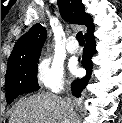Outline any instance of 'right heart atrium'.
<instances>
[{
	"label": "right heart atrium",
	"mask_w": 122,
	"mask_h": 123,
	"mask_svg": "<svg viewBox=\"0 0 122 123\" xmlns=\"http://www.w3.org/2000/svg\"><path fill=\"white\" fill-rule=\"evenodd\" d=\"M36 80L40 86L52 92L61 91L66 84L62 65L49 57H42L38 62Z\"/></svg>",
	"instance_id": "obj_1"
}]
</instances>
